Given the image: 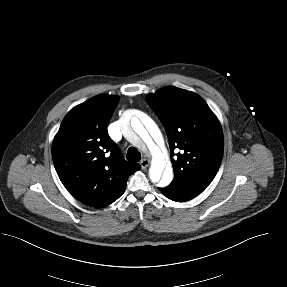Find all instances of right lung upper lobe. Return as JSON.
<instances>
[{"mask_svg":"<svg viewBox=\"0 0 287 287\" xmlns=\"http://www.w3.org/2000/svg\"><path fill=\"white\" fill-rule=\"evenodd\" d=\"M119 97L100 94L74 107L63 119L52 145L57 174L66 189L95 208L116 201L129 175L141 169L123 159L107 132Z\"/></svg>","mask_w":287,"mask_h":287,"instance_id":"cb5924a9","label":"right lung upper lobe"}]
</instances>
